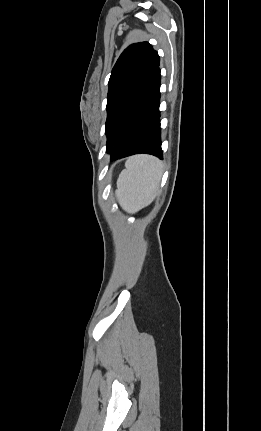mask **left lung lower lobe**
Returning a JSON list of instances; mask_svg holds the SVG:
<instances>
[{
    "mask_svg": "<svg viewBox=\"0 0 261 431\" xmlns=\"http://www.w3.org/2000/svg\"><path fill=\"white\" fill-rule=\"evenodd\" d=\"M160 82L158 67L129 104L110 152L111 161L139 153L151 154L162 159Z\"/></svg>",
    "mask_w": 261,
    "mask_h": 431,
    "instance_id": "0a47b994",
    "label": "left lung lower lobe"
}]
</instances>
